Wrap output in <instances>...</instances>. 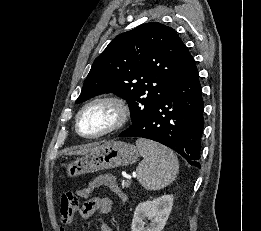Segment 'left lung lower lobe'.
<instances>
[{
  "label": "left lung lower lobe",
  "instance_id": "0a47b994",
  "mask_svg": "<svg viewBox=\"0 0 261 231\" xmlns=\"http://www.w3.org/2000/svg\"><path fill=\"white\" fill-rule=\"evenodd\" d=\"M204 104L198 69L175 85L144 119L133 123L119 137H142L168 146L189 164L200 168Z\"/></svg>",
  "mask_w": 261,
  "mask_h": 231
}]
</instances>
